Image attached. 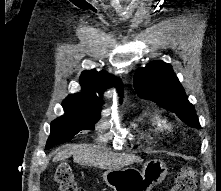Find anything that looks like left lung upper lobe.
<instances>
[{
	"instance_id": "5c2ea615",
	"label": "left lung upper lobe",
	"mask_w": 221,
	"mask_h": 191,
	"mask_svg": "<svg viewBox=\"0 0 221 191\" xmlns=\"http://www.w3.org/2000/svg\"><path fill=\"white\" fill-rule=\"evenodd\" d=\"M134 87L139 97L175 112L180 119L194 128H200L194 106L170 64L153 61L140 67L134 75Z\"/></svg>"
}]
</instances>
